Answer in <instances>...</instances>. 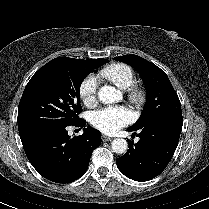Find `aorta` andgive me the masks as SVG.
Instances as JSON below:
<instances>
[{"label": "aorta", "instance_id": "obj_1", "mask_svg": "<svg viewBox=\"0 0 209 209\" xmlns=\"http://www.w3.org/2000/svg\"><path fill=\"white\" fill-rule=\"evenodd\" d=\"M121 93L115 87L104 86L98 91V98L102 103L108 104L119 100ZM113 152L124 154L128 149V143L125 139L116 138L111 142Z\"/></svg>", "mask_w": 209, "mask_h": 209}]
</instances>
